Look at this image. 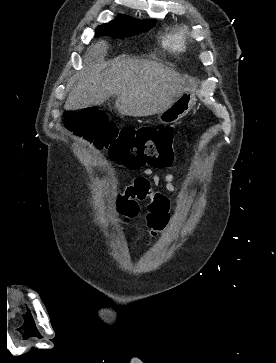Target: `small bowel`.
<instances>
[{"label":"small bowel","mask_w":276,"mask_h":363,"mask_svg":"<svg viewBox=\"0 0 276 363\" xmlns=\"http://www.w3.org/2000/svg\"><path fill=\"white\" fill-rule=\"evenodd\" d=\"M162 185L168 193H176L177 188L173 184V174L167 173L162 178L154 174L151 169H145L144 175L137 177L126 187L121 198L120 206L124 214L129 218H134L140 211L139 202L148 200V214L155 215L162 219V215L167 212L169 206L168 197L157 190V186ZM149 223V220H148ZM159 230L149 226V234L155 235Z\"/></svg>","instance_id":"small-bowel-1"}]
</instances>
